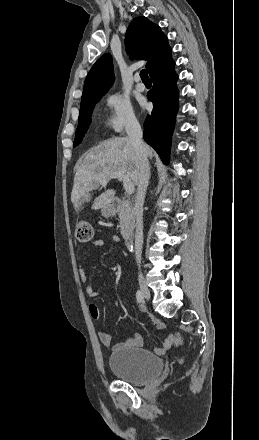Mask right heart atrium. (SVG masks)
<instances>
[{
  "mask_svg": "<svg viewBox=\"0 0 259 440\" xmlns=\"http://www.w3.org/2000/svg\"><path fill=\"white\" fill-rule=\"evenodd\" d=\"M108 114L105 118V126L113 133H122L137 125V117L130 100L120 94L111 93L105 98Z\"/></svg>",
  "mask_w": 259,
  "mask_h": 440,
  "instance_id": "right-heart-atrium-1",
  "label": "right heart atrium"
}]
</instances>
